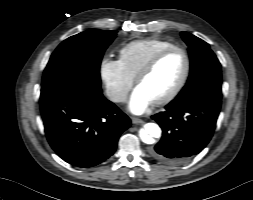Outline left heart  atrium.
<instances>
[{"mask_svg": "<svg viewBox=\"0 0 253 200\" xmlns=\"http://www.w3.org/2000/svg\"><path fill=\"white\" fill-rule=\"evenodd\" d=\"M154 102L150 97L139 87L133 91L129 103L128 109L134 114H143L146 112Z\"/></svg>", "mask_w": 253, "mask_h": 200, "instance_id": "39dd6f15", "label": "left heart atrium"}]
</instances>
